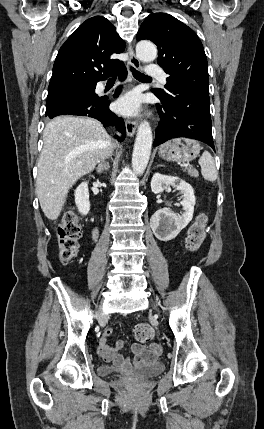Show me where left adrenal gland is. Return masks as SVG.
<instances>
[{"label":"left adrenal gland","instance_id":"1","mask_svg":"<svg viewBox=\"0 0 264 429\" xmlns=\"http://www.w3.org/2000/svg\"><path fill=\"white\" fill-rule=\"evenodd\" d=\"M163 165H161V164H159V165H157V167H162Z\"/></svg>","mask_w":264,"mask_h":429}]
</instances>
